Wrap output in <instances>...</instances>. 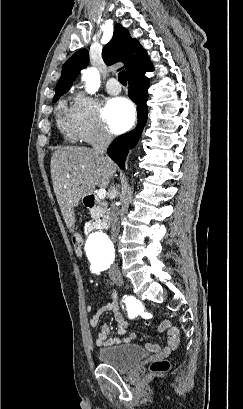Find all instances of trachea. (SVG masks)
Listing matches in <instances>:
<instances>
[{
	"label": "trachea",
	"instance_id": "obj_1",
	"mask_svg": "<svg viewBox=\"0 0 243 409\" xmlns=\"http://www.w3.org/2000/svg\"><path fill=\"white\" fill-rule=\"evenodd\" d=\"M118 80L122 85H127V77L124 70L118 74Z\"/></svg>",
	"mask_w": 243,
	"mask_h": 409
}]
</instances>
